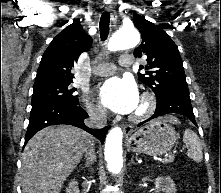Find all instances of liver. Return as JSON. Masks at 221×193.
<instances>
[{
  "instance_id": "1",
  "label": "liver",
  "mask_w": 221,
  "mask_h": 193,
  "mask_svg": "<svg viewBox=\"0 0 221 193\" xmlns=\"http://www.w3.org/2000/svg\"><path fill=\"white\" fill-rule=\"evenodd\" d=\"M178 123L175 117H166ZM93 138L69 126H50L40 130L27 143L22 154L23 193H60L64 181L79 164Z\"/></svg>"
}]
</instances>
